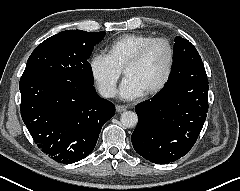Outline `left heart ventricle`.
Wrapping results in <instances>:
<instances>
[{
    "label": "left heart ventricle",
    "mask_w": 240,
    "mask_h": 191,
    "mask_svg": "<svg viewBox=\"0 0 240 191\" xmlns=\"http://www.w3.org/2000/svg\"><path fill=\"white\" fill-rule=\"evenodd\" d=\"M168 59L167 46L157 42L149 48L139 64L127 70L125 76L133 79L144 93L162 80Z\"/></svg>",
    "instance_id": "obj_1"
}]
</instances>
